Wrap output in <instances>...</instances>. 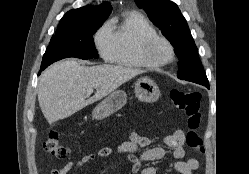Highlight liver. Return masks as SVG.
Wrapping results in <instances>:
<instances>
[{"label":"liver","mask_w":249,"mask_h":174,"mask_svg":"<svg viewBox=\"0 0 249 174\" xmlns=\"http://www.w3.org/2000/svg\"><path fill=\"white\" fill-rule=\"evenodd\" d=\"M139 69L116 65L83 66L75 60L57 62L39 79L38 101L49 123L65 119L142 74ZM95 94L86 99L93 90Z\"/></svg>","instance_id":"6515ba94"}]
</instances>
